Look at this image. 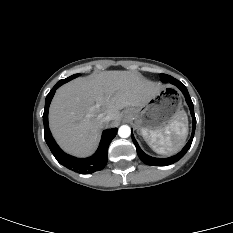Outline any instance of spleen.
Wrapping results in <instances>:
<instances>
[{
  "label": "spleen",
  "instance_id": "spleen-1",
  "mask_svg": "<svg viewBox=\"0 0 233 233\" xmlns=\"http://www.w3.org/2000/svg\"><path fill=\"white\" fill-rule=\"evenodd\" d=\"M188 133V120L185 111H178L173 121L162 129L142 132L147 144L158 154L170 155L177 151Z\"/></svg>",
  "mask_w": 233,
  "mask_h": 233
}]
</instances>
